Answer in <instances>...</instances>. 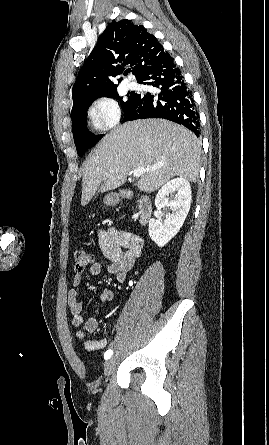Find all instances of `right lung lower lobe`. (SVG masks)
Masks as SVG:
<instances>
[{
  "instance_id": "1",
  "label": "right lung lower lobe",
  "mask_w": 269,
  "mask_h": 445,
  "mask_svg": "<svg viewBox=\"0 0 269 445\" xmlns=\"http://www.w3.org/2000/svg\"><path fill=\"white\" fill-rule=\"evenodd\" d=\"M138 82L157 91L137 94L125 120L164 118L184 125L199 137L200 124L193 96L171 55L146 70Z\"/></svg>"
}]
</instances>
